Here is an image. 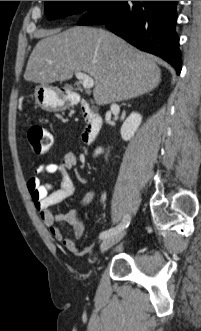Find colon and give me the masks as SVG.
Listing matches in <instances>:
<instances>
[{
	"mask_svg": "<svg viewBox=\"0 0 201 331\" xmlns=\"http://www.w3.org/2000/svg\"><path fill=\"white\" fill-rule=\"evenodd\" d=\"M28 141L32 150L39 155L47 153L53 142L51 133L41 125H32L28 129Z\"/></svg>",
	"mask_w": 201,
	"mask_h": 331,
	"instance_id": "5ec220e1",
	"label": "colon"
}]
</instances>
